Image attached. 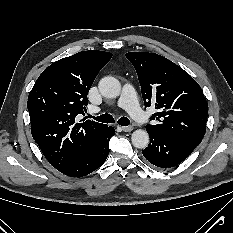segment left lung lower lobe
I'll list each match as a JSON object with an SVG mask.
<instances>
[{
    "instance_id": "1",
    "label": "left lung lower lobe",
    "mask_w": 233,
    "mask_h": 233,
    "mask_svg": "<svg viewBox=\"0 0 233 233\" xmlns=\"http://www.w3.org/2000/svg\"><path fill=\"white\" fill-rule=\"evenodd\" d=\"M147 132L150 143L142 153L151 164L159 168L178 165L198 146L189 141L155 131L148 130Z\"/></svg>"
}]
</instances>
